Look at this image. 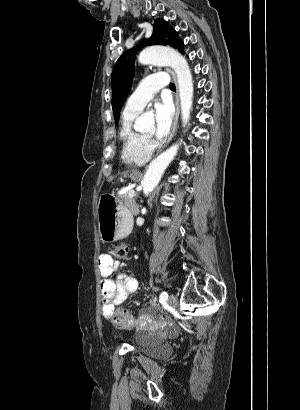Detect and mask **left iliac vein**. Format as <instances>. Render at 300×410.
<instances>
[{"mask_svg":"<svg viewBox=\"0 0 300 410\" xmlns=\"http://www.w3.org/2000/svg\"><path fill=\"white\" fill-rule=\"evenodd\" d=\"M167 303L171 306V307H175L177 305V297L174 294H171L168 297Z\"/></svg>","mask_w":300,"mask_h":410,"instance_id":"obj_1","label":"left iliac vein"}]
</instances>
